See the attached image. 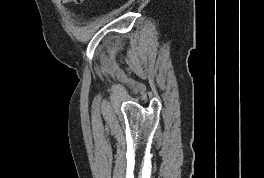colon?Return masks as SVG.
Returning <instances> with one entry per match:
<instances>
[{
  "label": "colon",
  "instance_id": "1",
  "mask_svg": "<svg viewBox=\"0 0 264 178\" xmlns=\"http://www.w3.org/2000/svg\"><path fill=\"white\" fill-rule=\"evenodd\" d=\"M63 3H75V4H79L82 3L83 0H61Z\"/></svg>",
  "mask_w": 264,
  "mask_h": 178
}]
</instances>
